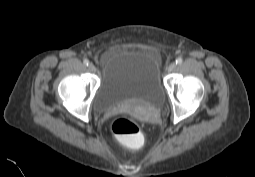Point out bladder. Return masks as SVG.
<instances>
[{
  "label": "bladder",
  "mask_w": 255,
  "mask_h": 177,
  "mask_svg": "<svg viewBox=\"0 0 255 177\" xmlns=\"http://www.w3.org/2000/svg\"><path fill=\"white\" fill-rule=\"evenodd\" d=\"M165 98L158 61L150 50H123L107 62L94 107L104 113L126 103L159 106Z\"/></svg>",
  "instance_id": "bladder-1"
}]
</instances>
